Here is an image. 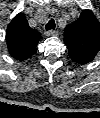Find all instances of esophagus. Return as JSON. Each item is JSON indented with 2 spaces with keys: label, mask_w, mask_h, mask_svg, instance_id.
Instances as JSON below:
<instances>
[{
  "label": "esophagus",
  "mask_w": 100,
  "mask_h": 118,
  "mask_svg": "<svg viewBox=\"0 0 100 118\" xmlns=\"http://www.w3.org/2000/svg\"><path fill=\"white\" fill-rule=\"evenodd\" d=\"M44 34L46 36H57L59 32L57 30H49V31H45Z\"/></svg>",
  "instance_id": "1"
}]
</instances>
